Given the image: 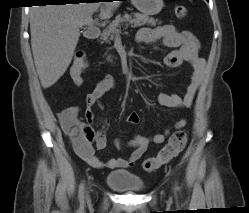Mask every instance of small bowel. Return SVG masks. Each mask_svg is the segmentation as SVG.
<instances>
[{
  "mask_svg": "<svg viewBox=\"0 0 249 213\" xmlns=\"http://www.w3.org/2000/svg\"><path fill=\"white\" fill-rule=\"evenodd\" d=\"M162 40L166 47L172 51L165 57V64L169 67H177L182 63H187L192 69V75L184 95L160 93L157 101L161 106L168 108H189L191 107L195 95L200 86L205 68V60L199 56L200 44L198 39L189 31H179L174 25H163L157 28H142L137 35V41L144 45H152ZM115 85L113 76L104 77L96 87L86 96V121L79 119V109L69 107L62 110L59 114V121L63 131L70 135L74 150L88 165L94 168L122 169L132 166L147 151L151 143L160 144L166 140L171 132L168 127L163 132L153 137L135 135L128 145L132 147V152L127 158H110L106 161L99 159L95 155V150H104L107 146L106 128L108 121H100V127L95 132L91 124L95 121L92 107L100 104L101 98ZM126 121L130 124H137L140 117L136 112L130 113ZM187 120L181 118L177 120L173 128L182 129L186 126ZM77 142L81 144L78 145ZM116 147L122 146V141H114Z\"/></svg>",
  "mask_w": 249,
  "mask_h": 213,
  "instance_id": "c3829d8e",
  "label": "small bowel"
}]
</instances>
